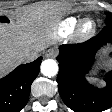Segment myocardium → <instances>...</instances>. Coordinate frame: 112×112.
I'll list each match as a JSON object with an SVG mask.
<instances>
[{
	"label": "myocardium",
	"mask_w": 112,
	"mask_h": 112,
	"mask_svg": "<svg viewBox=\"0 0 112 112\" xmlns=\"http://www.w3.org/2000/svg\"><path fill=\"white\" fill-rule=\"evenodd\" d=\"M90 24V28L86 29V25ZM97 31V23L95 20L91 18H85L79 21L78 25L76 26L74 35L75 38L79 41H86L92 38Z\"/></svg>",
	"instance_id": "myocardium-1"
}]
</instances>
